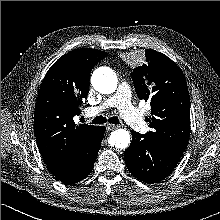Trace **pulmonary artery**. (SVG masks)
Wrapping results in <instances>:
<instances>
[{
  "label": "pulmonary artery",
  "instance_id": "obj_1",
  "mask_svg": "<svg viewBox=\"0 0 220 220\" xmlns=\"http://www.w3.org/2000/svg\"><path fill=\"white\" fill-rule=\"evenodd\" d=\"M111 107H117L124 120L136 131L147 130V123L141 111L131 103L130 88L126 82H120L115 93L101 104L89 108V113L96 115Z\"/></svg>",
  "mask_w": 220,
  "mask_h": 220
}]
</instances>
